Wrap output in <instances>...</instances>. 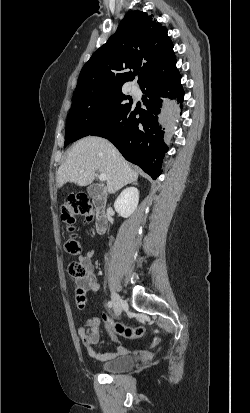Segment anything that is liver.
Instances as JSON below:
<instances>
[{"mask_svg": "<svg viewBox=\"0 0 250 413\" xmlns=\"http://www.w3.org/2000/svg\"><path fill=\"white\" fill-rule=\"evenodd\" d=\"M96 171L106 175L109 193L138 179V173L108 140L87 136L74 144L59 167L57 187L61 188L67 182L88 186L94 181Z\"/></svg>", "mask_w": 250, "mask_h": 413, "instance_id": "1", "label": "liver"}]
</instances>
